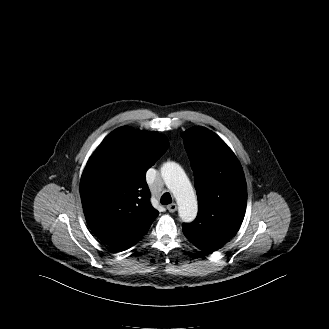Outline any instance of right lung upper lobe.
I'll return each instance as SVG.
<instances>
[{"label":"right lung upper lobe","mask_w":329,"mask_h":329,"mask_svg":"<svg viewBox=\"0 0 329 329\" xmlns=\"http://www.w3.org/2000/svg\"><path fill=\"white\" fill-rule=\"evenodd\" d=\"M163 135L120 127L88 160L80 182L86 221L115 251L133 246L158 215L150 203L146 171L165 153Z\"/></svg>","instance_id":"1"}]
</instances>
